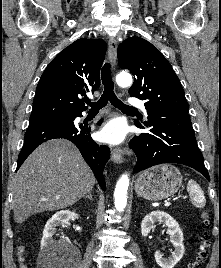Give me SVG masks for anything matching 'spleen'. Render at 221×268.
I'll list each match as a JSON object with an SVG mask.
<instances>
[{"label":"spleen","mask_w":221,"mask_h":268,"mask_svg":"<svg viewBox=\"0 0 221 268\" xmlns=\"http://www.w3.org/2000/svg\"><path fill=\"white\" fill-rule=\"evenodd\" d=\"M187 191L192 196V202L196 207H203L206 204V199L201 187L194 181L189 180L187 184Z\"/></svg>","instance_id":"3e777b00"}]
</instances>
